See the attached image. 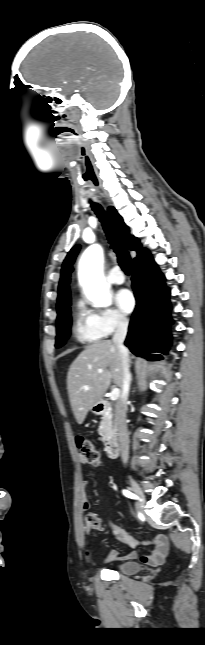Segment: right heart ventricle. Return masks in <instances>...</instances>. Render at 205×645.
Here are the masks:
<instances>
[{
  "label": "right heart ventricle",
  "instance_id": "1",
  "mask_svg": "<svg viewBox=\"0 0 205 645\" xmlns=\"http://www.w3.org/2000/svg\"><path fill=\"white\" fill-rule=\"evenodd\" d=\"M73 332L76 339L84 343L98 342L104 336L96 327L93 314L82 305L75 312Z\"/></svg>",
  "mask_w": 205,
  "mask_h": 645
}]
</instances>
